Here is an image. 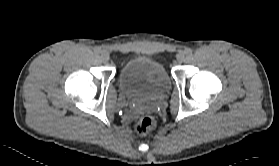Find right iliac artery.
I'll return each instance as SVG.
<instances>
[{"mask_svg":"<svg viewBox=\"0 0 279 166\" xmlns=\"http://www.w3.org/2000/svg\"><path fill=\"white\" fill-rule=\"evenodd\" d=\"M94 52H95L96 54L100 53V52H101V48H100V47H95V48H94Z\"/></svg>","mask_w":279,"mask_h":166,"instance_id":"1","label":"right iliac artery"}]
</instances>
